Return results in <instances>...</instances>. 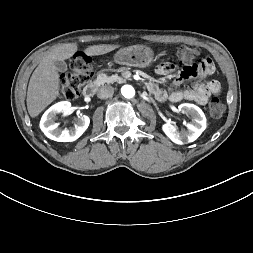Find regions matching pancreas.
I'll return each instance as SVG.
<instances>
[{
    "instance_id": "cf45deb5",
    "label": "pancreas",
    "mask_w": 253,
    "mask_h": 253,
    "mask_svg": "<svg viewBox=\"0 0 253 253\" xmlns=\"http://www.w3.org/2000/svg\"><path fill=\"white\" fill-rule=\"evenodd\" d=\"M118 80H121L123 81V79L121 78H115L113 76H107L106 74H103V73H100L98 74L96 80H95V83H97L98 85H102V84H112L114 83L115 81H118Z\"/></svg>"
}]
</instances>
